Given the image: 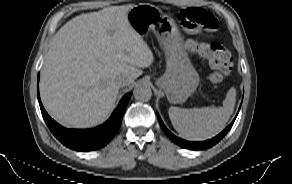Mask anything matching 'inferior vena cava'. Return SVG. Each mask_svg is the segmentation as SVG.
Here are the masks:
<instances>
[{
	"mask_svg": "<svg viewBox=\"0 0 292 184\" xmlns=\"http://www.w3.org/2000/svg\"><path fill=\"white\" fill-rule=\"evenodd\" d=\"M116 83L119 87H124V86H127L129 84V80L126 78H120L117 80Z\"/></svg>",
	"mask_w": 292,
	"mask_h": 184,
	"instance_id": "obj_1",
	"label": "inferior vena cava"
}]
</instances>
